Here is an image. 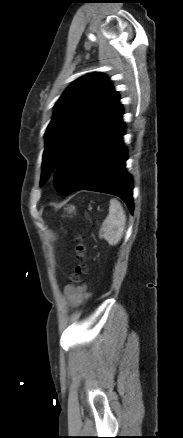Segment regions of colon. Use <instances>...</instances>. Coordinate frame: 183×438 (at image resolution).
<instances>
[{
	"label": "colon",
	"mask_w": 183,
	"mask_h": 438,
	"mask_svg": "<svg viewBox=\"0 0 183 438\" xmlns=\"http://www.w3.org/2000/svg\"><path fill=\"white\" fill-rule=\"evenodd\" d=\"M76 251H77V256H78L79 260L81 261V263L76 267L75 273L71 277V281H73V282L78 281L79 276L85 271V266L82 263V261L84 259V246H83V244L78 243L77 247H76Z\"/></svg>",
	"instance_id": "colon-1"
}]
</instances>
